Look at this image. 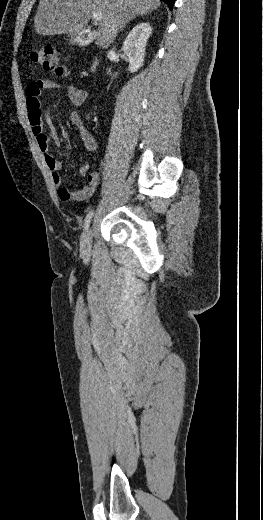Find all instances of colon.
I'll return each mask as SVG.
<instances>
[{
	"mask_svg": "<svg viewBox=\"0 0 263 520\" xmlns=\"http://www.w3.org/2000/svg\"><path fill=\"white\" fill-rule=\"evenodd\" d=\"M31 60L42 69L54 72L58 76H66L68 69L61 61L57 51L50 45H43L30 54Z\"/></svg>",
	"mask_w": 263,
	"mask_h": 520,
	"instance_id": "1",
	"label": "colon"
}]
</instances>
